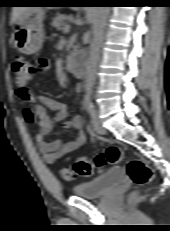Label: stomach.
Wrapping results in <instances>:
<instances>
[{"instance_id": "stomach-1", "label": "stomach", "mask_w": 170, "mask_h": 231, "mask_svg": "<svg viewBox=\"0 0 170 231\" xmlns=\"http://www.w3.org/2000/svg\"><path fill=\"white\" fill-rule=\"evenodd\" d=\"M45 12L43 9H28L15 23L13 40L18 50L24 54L38 52L44 40L42 21Z\"/></svg>"}]
</instances>
